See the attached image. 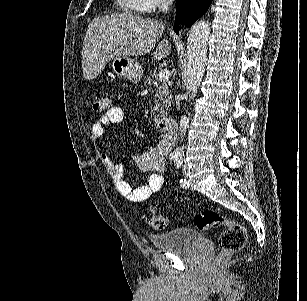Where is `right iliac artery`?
Returning <instances> with one entry per match:
<instances>
[{
  "label": "right iliac artery",
  "mask_w": 307,
  "mask_h": 301,
  "mask_svg": "<svg viewBox=\"0 0 307 301\" xmlns=\"http://www.w3.org/2000/svg\"><path fill=\"white\" fill-rule=\"evenodd\" d=\"M170 159L171 160H177V155L176 154H170Z\"/></svg>",
  "instance_id": "82829eb1"
}]
</instances>
